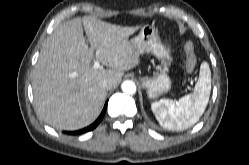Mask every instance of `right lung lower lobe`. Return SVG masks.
<instances>
[{
    "label": "right lung lower lobe",
    "mask_w": 249,
    "mask_h": 165,
    "mask_svg": "<svg viewBox=\"0 0 249 165\" xmlns=\"http://www.w3.org/2000/svg\"><path fill=\"white\" fill-rule=\"evenodd\" d=\"M106 108H107V102L100 114V116L98 117V119L93 123L91 124L90 126L84 128V129H81V130H78V131H73V132H66L67 134H72V135H76V134H82V133H86L88 131H91L93 130L94 128H96L98 126V124L101 122V120L103 119V116L106 112Z\"/></svg>",
    "instance_id": "1"
}]
</instances>
